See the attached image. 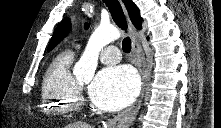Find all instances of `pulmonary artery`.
Instances as JSON below:
<instances>
[{
    "label": "pulmonary artery",
    "instance_id": "pulmonary-artery-1",
    "mask_svg": "<svg viewBox=\"0 0 221 128\" xmlns=\"http://www.w3.org/2000/svg\"><path fill=\"white\" fill-rule=\"evenodd\" d=\"M120 57L121 53L119 49L113 45L105 47L100 54L101 62L106 64L117 63L120 60Z\"/></svg>",
    "mask_w": 221,
    "mask_h": 128
}]
</instances>
